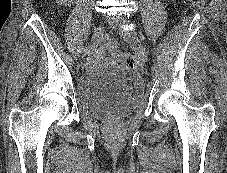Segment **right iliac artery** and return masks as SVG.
Masks as SVG:
<instances>
[{
    "mask_svg": "<svg viewBox=\"0 0 227 173\" xmlns=\"http://www.w3.org/2000/svg\"><path fill=\"white\" fill-rule=\"evenodd\" d=\"M103 45V44H102ZM87 49H84V53H86Z\"/></svg>",
    "mask_w": 227,
    "mask_h": 173,
    "instance_id": "1",
    "label": "right iliac artery"
}]
</instances>
